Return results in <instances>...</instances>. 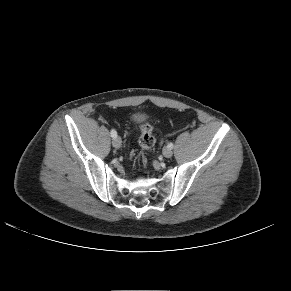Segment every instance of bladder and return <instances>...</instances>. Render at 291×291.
Returning <instances> with one entry per match:
<instances>
[{
    "mask_svg": "<svg viewBox=\"0 0 291 291\" xmlns=\"http://www.w3.org/2000/svg\"><path fill=\"white\" fill-rule=\"evenodd\" d=\"M133 120L135 121V122H141L142 120H143V116L141 115V114H135L134 116H133Z\"/></svg>",
    "mask_w": 291,
    "mask_h": 291,
    "instance_id": "obj_1",
    "label": "bladder"
}]
</instances>
